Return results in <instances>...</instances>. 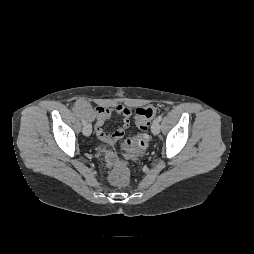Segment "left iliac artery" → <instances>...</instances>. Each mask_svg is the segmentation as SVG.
<instances>
[{
	"label": "left iliac artery",
	"mask_w": 254,
	"mask_h": 254,
	"mask_svg": "<svg viewBox=\"0 0 254 254\" xmlns=\"http://www.w3.org/2000/svg\"><path fill=\"white\" fill-rule=\"evenodd\" d=\"M157 120L160 122L162 120V115H158Z\"/></svg>",
	"instance_id": "1"
}]
</instances>
